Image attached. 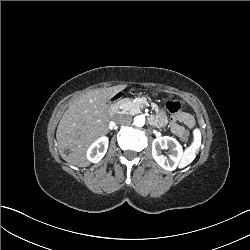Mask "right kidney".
<instances>
[{
  "label": "right kidney",
  "instance_id": "1",
  "mask_svg": "<svg viewBox=\"0 0 250 250\" xmlns=\"http://www.w3.org/2000/svg\"><path fill=\"white\" fill-rule=\"evenodd\" d=\"M109 144V137L106 135L99 136L91 142L86 150V159L90 163L99 162L105 155Z\"/></svg>",
  "mask_w": 250,
  "mask_h": 250
}]
</instances>
